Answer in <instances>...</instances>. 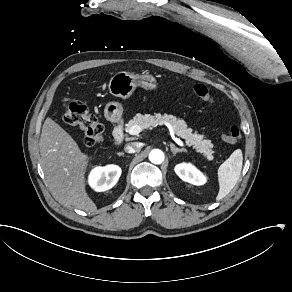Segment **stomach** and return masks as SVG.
<instances>
[{
    "mask_svg": "<svg viewBox=\"0 0 292 292\" xmlns=\"http://www.w3.org/2000/svg\"><path fill=\"white\" fill-rule=\"evenodd\" d=\"M137 87L145 91H157L159 89V82L149 72L132 73L119 71L111 77L108 84L110 94L122 100L130 99ZM104 117L111 123H118L123 117V103L119 101L108 102L104 108Z\"/></svg>",
    "mask_w": 292,
    "mask_h": 292,
    "instance_id": "obj_1",
    "label": "stomach"
}]
</instances>
